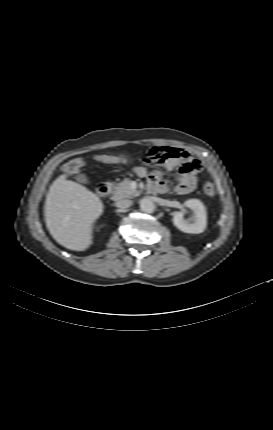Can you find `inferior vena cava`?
Segmentation results:
<instances>
[{
	"label": "inferior vena cava",
	"mask_w": 273,
	"mask_h": 430,
	"mask_svg": "<svg viewBox=\"0 0 273 430\" xmlns=\"http://www.w3.org/2000/svg\"><path fill=\"white\" fill-rule=\"evenodd\" d=\"M132 204V201L129 199H120L116 201L115 206L118 208H128Z\"/></svg>",
	"instance_id": "602c4592"
}]
</instances>
